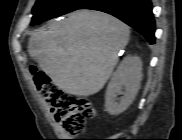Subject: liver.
Instances as JSON below:
<instances>
[{"label":"liver","mask_w":182,"mask_h":140,"mask_svg":"<svg viewBox=\"0 0 182 140\" xmlns=\"http://www.w3.org/2000/svg\"><path fill=\"white\" fill-rule=\"evenodd\" d=\"M130 29L99 11L77 10L31 35L28 52L63 92L79 97L99 92L110 78Z\"/></svg>","instance_id":"obj_1"}]
</instances>
